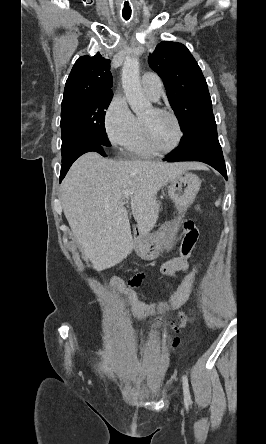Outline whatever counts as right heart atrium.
<instances>
[{"instance_id": "d8ad5b80", "label": "right heart atrium", "mask_w": 266, "mask_h": 444, "mask_svg": "<svg viewBox=\"0 0 266 444\" xmlns=\"http://www.w3.org/2000/svg\"><path fill=\"white\" fill-rule=\"evenodd\" d=\"M103 125L111 145L124 147L133 130L134 116L122 94L113 96L105 111Z\"/></svg>"}]
</instances>
